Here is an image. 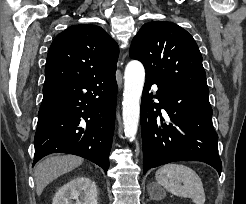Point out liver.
Here are the masks:
<instances>
[{
    "mask_svg": "<svg viewBox=\"0 0 246 204\" xmlns=\"http://www.w3.org/2000/svg\"><path fill=\"white\" fill-rule=\"evenodd\" d=\"M83 163L76 155H57L40 161L35 168L36 192L40 196L44 188L57 177L73 170Z\"/></svg>",
    "mask_w": 246,
    "mask_h": 204,
    "instance_id": "liver-1",
    "label": "liver"
}]
</instances>
